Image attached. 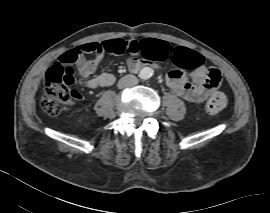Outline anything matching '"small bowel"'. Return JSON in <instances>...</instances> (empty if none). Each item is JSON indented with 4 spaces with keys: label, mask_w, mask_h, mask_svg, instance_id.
Segmentation results:
<instances>
[{
    "label": "small bowel",
    "mask_w": 270,
    "mask_h": 213,
    "mask_svg": "<svg viewBox=\"0 0 270 213\" xmlns=\"http://www.w3.org/2000/svg\"><path fill=\"white\" fill-rule=\"evenodd\" d=\"M107 41L85 42L77 46L80 54L76 61V67L82 85L96 89L113 84L114 77L108 73L93 76L99 63L105 54ZM140 45L146 43L155 44L156 48L148 53L146 58H130L127 66L132 72H137L146 64L153 61H171L174 64L166 77L167 85L189 102H201L220 84V74L214 75L210 68L197 67L190 73L191 81L185 77L183 69L191 63V52L182 47H176L166 41L159 39H146L139 41ZM94 53L92 59H86L87 54Z\"/></svg>",
    "instance_id": "obj_1"
}]
</instances>
